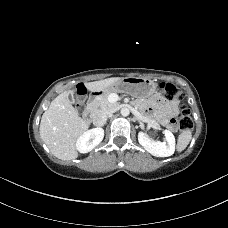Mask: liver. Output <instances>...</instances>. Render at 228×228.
<instances>
[{"mask_svg":"<svg viewBox=\"0 0 228 228\" xmlns=\"http://www.w3.org/2000/svg\"><path fill=\"white\" fill-rule=\"evenodd\" d=\"M119 77L85 83L91 92H99L121 80ZM71 91L59 94L43 113L40 122V136L52 154L61 160L78 157L76 142L89 128V124L79 117L68 96Z\"/></svg>","mask_w":228,"mask_h":228,"instance_id":"obj_1","label":"liver"}]
</instances>
